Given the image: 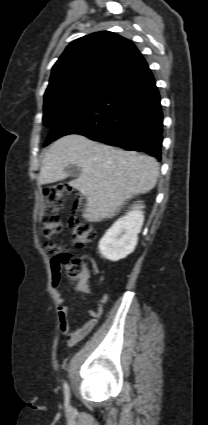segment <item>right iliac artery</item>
Masks as SVG:
<instances>
[{"mask_svg":"<svg viewBox=\"0 0 208 425\" xmlns=\"http://www.w3.org/2000/svg\"><path fill=\"white\" fill-rule=\"evenodd\" d=\"M63 388H64V393H65V399H66V402L68 403L69 397H70V391H69V386L66 382L64 383Z\"/></svg>","mask_w":208,"mask_h":425,"instance_id":"1","label":"right iliac artery"}]
</instances>
